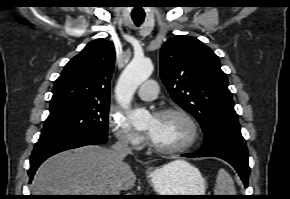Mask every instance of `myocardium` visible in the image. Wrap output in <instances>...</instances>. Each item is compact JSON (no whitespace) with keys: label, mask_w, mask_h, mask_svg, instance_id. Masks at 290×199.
Instances as JSON below:
<instances>
[{"label":"myocardium","mask_w":290,"mask_h":199,"mask_svg":"<svg viewBox=\"0 0 290 199\" xmlns=\"http://www.w3.org/2000/svg\"><path fill=\"white\" fill-rule=\"evenodd\" d=\"M170 115L180 116L182 119H184L188 123V125L191 129V136H190V139L188 140V142L180 147L170 148V149L159 147L158 145L153 143L150 139H148V144L153 151H155L159 154H163V155L184 154V153L188 152L189 150H191L200 140L201 132H200L199 124L196 121V119L189 112H187L186 110H184L180 107L164 108V109L157 111L155 114L156 117L170 116Z\"/></svg>","instance_id":"myocardium-1"}]
</instances>
